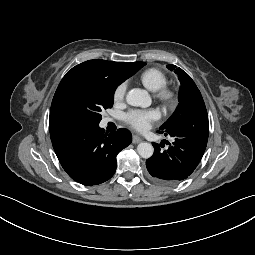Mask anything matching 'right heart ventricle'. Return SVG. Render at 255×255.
Masks as SVG:
<instances>
[{
  "label": "right heart ventricle",
  "instance_id": "1",
  "mask_svg": "<svg viewBox=\"0 0 255 255\" xmlns=\"http://www.w3.org/2000/svg\"><path fill=\"white\" fill-rule=\"evenodd\" d=\"M140 83L151 92H156L167 85V76L157 68H148L139 75Z\"/></svg>",
  "mask_w": 255,
  "mask_h": 255
}]
</instances>
